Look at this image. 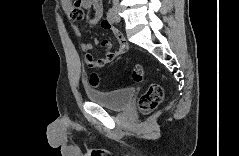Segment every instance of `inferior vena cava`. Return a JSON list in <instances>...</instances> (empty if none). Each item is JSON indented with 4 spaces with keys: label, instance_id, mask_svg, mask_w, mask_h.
<instances>
[{
    "label": "inferior vena cava",
    "instance_id": "inferior-vena-cava-1",
    "mask_svg": "<svg viewBox=\"0 0 239 156\" xmlns=\"http://www.w3.org/2000/svg\"><path fill=\"white\" fill-rule=\"evenodd\" d=\"M114 4L117 5L119 0H113Z\"/></svg>",
    "mask_w": 239,
    "mask_h": 156
}]
</instances>
